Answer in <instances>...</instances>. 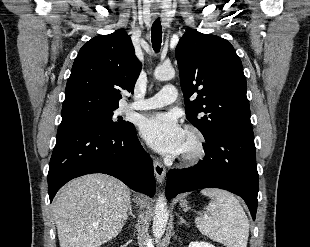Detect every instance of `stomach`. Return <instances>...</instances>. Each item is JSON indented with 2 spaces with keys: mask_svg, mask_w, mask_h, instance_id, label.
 I'll use <instances>...</instances> for the list:
<instances>
[{
  "mask_svg": "<svg viewBox=\"0 0 310 247\" xmlns=\"http://www.w3.org/2000/svg\"><path fill=\"white\" fill-rule=\"evenodd\" d=\"M183 206H185L186 205V203L183 201L182 203H181Z\"/></svg>",
  "mask_w": 310,
  "mask_h": 247,
  "instance_id": "obj_1",
  "label": "stomach"
}]
</instances>
